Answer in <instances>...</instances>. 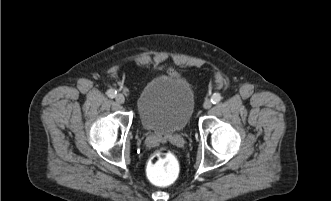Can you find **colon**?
Instances as JSON below:
<instances>
[{"label": "colon", "mask_w": 331, "mask_h": 201, "mask_svg": "<svg viewBox=\"0 0 331 201\" xmlns=\"http://www.w3.org/2000/svg\"><path fill=\"white\" fill-rule=\"evenodd\" d=\"M146 171L153 184L161 187L171 185L179 174L177 157L171 150L160 148L149 158Z\"/></svg>", "instance_id": "obj_1"}]
</instances>
